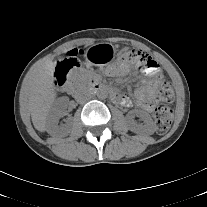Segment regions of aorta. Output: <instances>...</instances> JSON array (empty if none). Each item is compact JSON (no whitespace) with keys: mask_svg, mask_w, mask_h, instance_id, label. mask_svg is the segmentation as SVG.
Returning a JSON list of instances; mask_svg holds the SVG:
<instances>
[{"mask_svg":"<svg viewBox=\"0 0 207 207\" xmlns=\"http://www.w3.org/2000/svg\"><path fill=\"white\" fill-rule=\"evenodd\" d=\"M108 96V92L105 89H99L97 92V97L99 99H106Z\"/></svg>","mask_w":207,"mask_h":207,"instance_id":"1","label":"aorta"}]
</instances>
